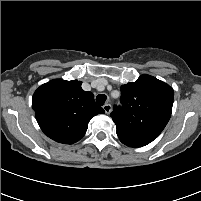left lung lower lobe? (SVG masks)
<instances>
[{"instance_id":"1","label":"left lung lower lobe","mask_w":201,"mask_h":201,"mask_svg":"<svg viewBox=\"0 0 201 201\" xmlns=\"http://www.w3.org/2000/svg\"><path fill=\"white\" fill-rule=\"evenodd\" d=\"M118 137L123 144L129 147H142L148 144V142H144V141L129 139L122 136H118Z\"/></svg>"}]
</instances>
